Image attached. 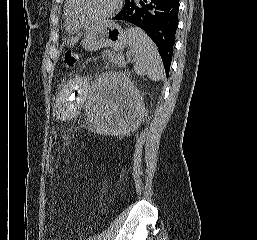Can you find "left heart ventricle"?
Returning a JSON list of instances; mask_svg holds the SVG:
<instances>
[{
  "label": "left heart ventricle",
  "instance_id": "obj_1",
  "mask_svg": "<svg viewBox=\"0 0 257 240\" xmlns=\"http://www.w3.org/2000/svg\"><path fill=\"white\" fill-rule=\"evenodd\" d=\"M113 4V0H75L73 12L81 21L93 20L106 13Z\"/></svg>",
  "mask_w": 257,
  "mask_h": 240
}]
</instances>
